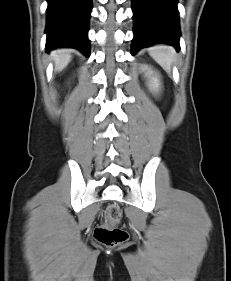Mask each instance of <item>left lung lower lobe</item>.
I'll return each mask as SVG.
<instances>
[{
	"label": "left lung lower lobe",
	"instance_id": "obj_1",
	"mask_svg": "<svg viewBox=\"0 0 231 281\" xmlns=\"http://www.w3.org/2000/svg\"><path fill=\"white\" fill-rule=\"evenodd\" d=\"M178 0H132L134 39L132 54L154 43H167L180 49Z\"/></svg>",
	"mask_w": 231,
	"mask_h": 281
}]
</instances>
